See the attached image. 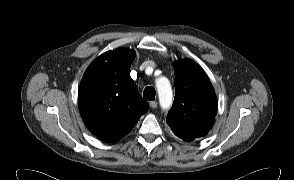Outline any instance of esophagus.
<instances>
[{"label": "esophagus", "instance_id": "esophagus-1", "mask_svg": "<svg viewBox=\"0 0 294 180\" xmlns=\"http://www.w3.org/2000/svg\"><path fill=\"white\" fill-rule=\"evenodd\" d=\"M149 106L154 109L158 106V103H157V101H150Z\"/></svg>", "mask_w": 294, "mask_h": 180}]
</instances>
